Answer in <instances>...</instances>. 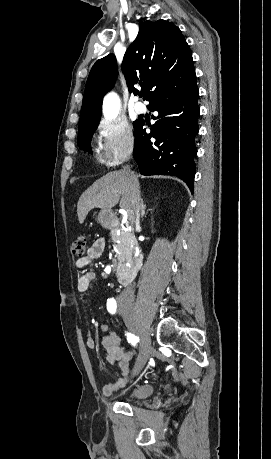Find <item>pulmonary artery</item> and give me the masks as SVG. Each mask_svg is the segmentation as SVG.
<instances>
[{
  "instance_id": "pulmonary-artery-1",
  "label": "pulmonary artery",
  "mask_w": 271,
  "mask_h": 459,
  "mask_svg": "<svg viewBox=\"0 0 271 459\" xmlns=\"http://www.w3.org/2000/svg\"><path fill=\"white\" fill-rule=\"evenodd\" d=\"M132 109L135 114H144L147 111L146 105L139 99L134 101Z\"/></svg>"
}]
</instances>
